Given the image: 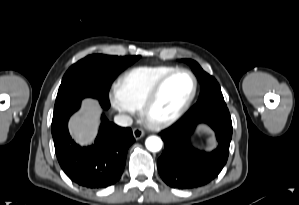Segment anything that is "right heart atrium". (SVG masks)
<instances>
[{"label":"right heart atrium","instance_id":"d8ad5b80","mask_svg":"<svg viewBox=\"0 0 299 205\" xmlns=\"http://www.w3.org/2000/svg\"><path fill=\"white\" fill-rule=\"evenodd\" d=\"M109 103L111 107L121 113H128L132 112V109H130L121 99L118 91L116 88H113L109 93Z\"/></svg>","mask_w":299,"mask_h":205}]
</instances>
